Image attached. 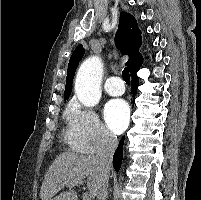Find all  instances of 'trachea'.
<instances>
[{"label": "trachea", "instance_id": "trachea-1", "mask_svg": "<svg viewBox=\"0 0 201 200\" xmlns=\"http://www.w3.org/2000/svg\"><path fill=\"white\" fill-rule=\"evenodd\" d=\"M122 77L124 79V81L129 85L130 84V73L128 68H124L123 72H122Z\"/></svg>", "mask_w": 201, "mask_h": 200}]
</instances>
